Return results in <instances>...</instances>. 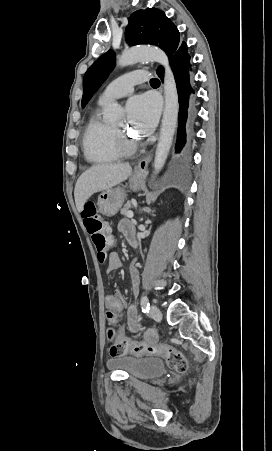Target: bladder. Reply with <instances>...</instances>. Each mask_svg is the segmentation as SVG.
<instances>
[{
	"instance_id": "1",
	"label": "bladder",
	"mask_w": 272,
	"mask_h": 451,
	"mask_svg": "<svg viewBox=\"0 0 272 451\" xmlns=\"http://www.w3.org/2000/svg\"><path fill=\"white\" fill-rule=\"evenodd\" d=\"M107 367L112 370L122 369L130 378L145 379L162 376L165 371V360L162 358L122 354L108 359Z\"/></svg>"
}]
</instances>
